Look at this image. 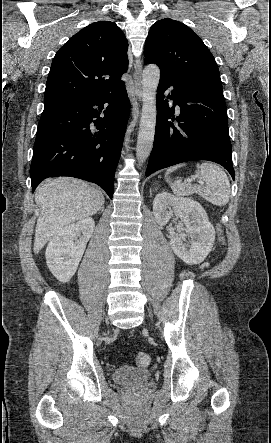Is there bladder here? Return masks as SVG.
<instances>
[{
  "instance_id": "31cf9c89",
  "label": "bladder",
  "mask_w": 271,
  "mask_h": 443,
  "mask_svg": "<svg viewBox=\"0 0 271 443\" xmlns=\"http://www.w3.org/2000/svg\"><path fill=\"white\" fill-rule=\"evenodd\" d=\"M150 370L134 366H120L113 370L112 379L121 385H137L148 381Z\"/></svg>"
}]
</instances>
